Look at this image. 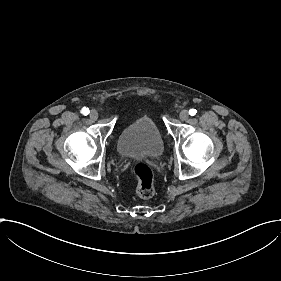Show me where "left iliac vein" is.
<instances>
[{"instance_id":"obj_1","label":"left iliac vein","mask_w":281,"mask_h":281,"mask_svg":"<svg viewBox=\"0 0 281 281\" xmlns=\"http://www.w3.org/2000/svg\"><path fill=\"white\" fill-rule=\"evenodd\" d=\"M180 117H181V119H183V120L188 119V117H189V112H188V110H186V109L181 110V112H180Z\"/></svg>"}]
</instances>
